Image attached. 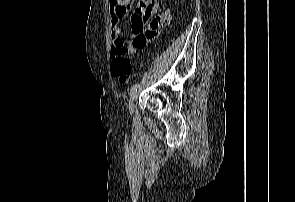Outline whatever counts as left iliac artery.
<instances>
[{"mask_svg": "<svg viewBox=\"0 0 295 202\" xmlns=\"http://www.w3.org/2000/svg\"><path fill=\"white\" fill-rule=\"evenodd\" d=\"M140 87V84L139 83H136L134 84L132 87H131V93H134L135 91H137V89Z\"/></svg>", "mask_w": 295, "mask_h": 202, "instance_id": "left-iliac-artery-1", "label": "left iliac artery"}]
</instances>
